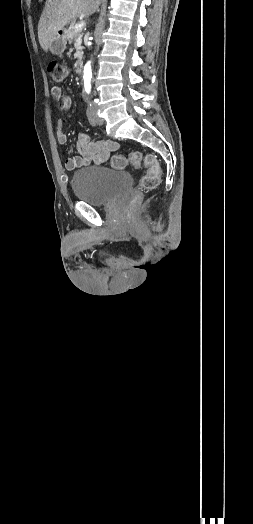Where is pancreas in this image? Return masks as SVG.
Returning a JSON list of instances; mask_svg holds the SVG:
<instances>
[{
  "mask_svg": "<svg viewBox=\"0 0 253 524\" xmlns=\"http://www.w3.org/2000/svg\"><path fill=\"white\" fill-rule=\"evenodd\" d=\"M75 22H71L69 28L66 31V38L69 40V42H72L73 40L76 41L75 48L78 50L77 57L80 55V51L82 50V32L81 30L75 29Z\"/></svg>",
  "mask_w": 253,
  "mask_h": 524,
  "instance_id": "obj_1",
  "label": "pancreas"
}]
</instances>
